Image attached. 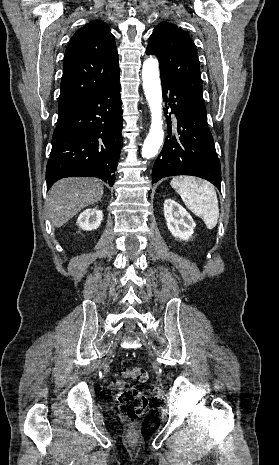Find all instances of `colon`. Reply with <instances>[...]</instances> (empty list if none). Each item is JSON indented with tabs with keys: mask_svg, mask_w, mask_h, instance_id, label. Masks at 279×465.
<instances>
[{
	"mask_svg": "<svg viewBox=\"0 0 279 465\" xmlns=\"http://www.w3.org/2000/svg\"><path fill=\"white\" fill-rule=\"evenodd\" d=\"M132 378L144 383L148 380V372L141 367L121 368V378L116 381V396L121 414L130 422L134 423L145 411L147 398L134 387L126 384V379Z\"/></svg>",
	"mask_w": 279,
	"mask_h": 465,
	"instance_id": "colon-1",
	"label": "colon"
}]
</instances>
